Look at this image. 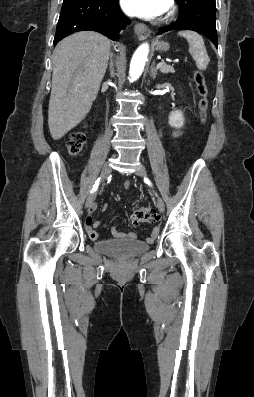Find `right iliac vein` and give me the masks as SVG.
<instances>
[{
  "instance_id": "63e3f726",
  "label": "right iliac vein",
  "mask_w": 254,
  "mask_h": 397,
  "mask_svg": "<svg viewBox=\"0 0 254 397\" xmlns=\"http://www.w3.org/2000/svg\"><path fill=\"white\" fill-rule=\"evenodd\" d=\"M110 172H111V165L109 162H106L102 168V171H101L102 180H105L108 177V175L110 174ZM96 195H97L96 190L91 195H89V197L86 200V204H85L86 208H89L93 204V202L96 198Z\"/></svg>"
}]
</instances>
